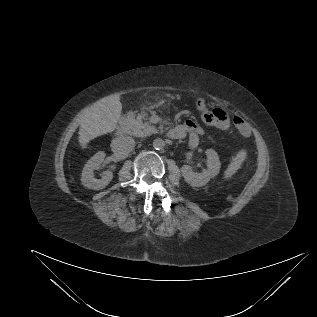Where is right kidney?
Masks as SVG:
<instances>
[{
    "label": "right kidney",
    "mask_w": 317,
    "mask_h": 317,
    "mask_svg": "<svg viewBox=\"0 0 317 317\" xmlns=\"http://www.w3.org/2000/svg\"><path fill=\"white\" fill-rule=\"evenodd\" d=\"M104 158L105 153L99 151L85 164L81 175V181L85 187L93 190H100L105 188L112 180L113 174L109 170L102 173L101 179H96L94 177L93 171L101 167Z\"/></svg>",
    "instance_id": "1"
}]
</instances>
